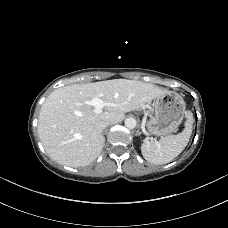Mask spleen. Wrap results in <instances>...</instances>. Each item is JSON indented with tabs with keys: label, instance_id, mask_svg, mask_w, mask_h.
<instances>
[{
	"label": "spleen",
	"instance_id": "1",
	"mask_svg": "<svg viewBox=\"0 0 228 228\" xmlns=\"http://www.w3.org/2000/svg\"><path fill=\"white\" fill-rule=\"evenodd\" d=\"M187 120L185 129L177 135H169L159 141H146L141 145L143 157L155 165L171 162L186 147L192 133L193 116L190 111L186 112Z\"/></svg>",
	"mask_w": 228,
	"mask_h": 228
}]
</instances>
